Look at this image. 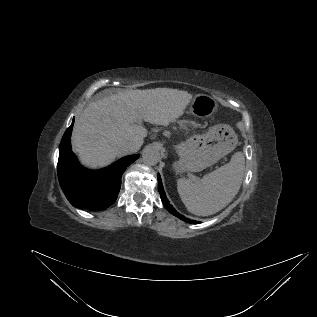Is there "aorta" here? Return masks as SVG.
<instances>
[{
  "mask_svg": "<svg viewBox=\"0 0 317 317\" xmlns=\"http://www.w3.org/2000/svg\"><path fill=\"white\" fill-rule=\"evenodd\" d=\"M143 162L148 166L156 165L160 160V152L153 146H147L142 153Z\"/></svg>",
  "mask_w": 317,
  "mask_h": 317,
  "instance_id": "762f6f07",
  "label": "aorta"
}]
</instances>
